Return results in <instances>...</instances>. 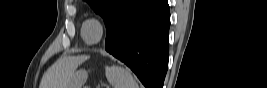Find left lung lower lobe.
<instances>
[{"label":"left lung lower lobe","mask_w":267,"mask_h":88,"mask_svg":"<svg viewBox=\"0 0 267 88\" xmlns=\"http://www.w3.org/2000/svg\"><path fill=\"white\" fill-rule=\"evenodd\" d=\"M167 0H135L107 30L105 49L147 88H162L168 67Z\"/></svg>","instance_id":"1"}]
</instances>
